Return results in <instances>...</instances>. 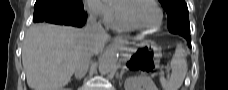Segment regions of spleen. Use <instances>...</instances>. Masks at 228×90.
<instances>
[{
    "label": "spleen",
    "instance_id": "obj_1",
    "mask_svg": "<svg viewBox=\"0 0 228 90\" xmlns=\"http://www.w3.org/2000/svg\"><path fill=\"white\" fill-rule=\"evenodd\" d=\"M171 75L168 78L160 77L163 90H179L187 73V62L184 49L178 45L171 60Z\"/></svg>",
    "mask_w": 228,
    "mask_h": 90
}]
</instances>
